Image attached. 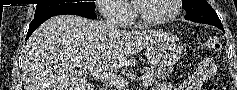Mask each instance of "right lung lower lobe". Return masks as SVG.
<instances>
[{
  "instance_id": "98d812e1",
  "label": "right lung lower lobe",
  "mask_w": 237,
  "mask_h": 90,
  "mask_svg": "<svg viewBox=\"0 0 237 90\" xmlns=\"http://www.w3.org/2000/svg\"><path fill=\"white\" fill-rule=\"evenodd\" d=\"M66 14H73V15H79V16H83L86 18H90V19H96L97 16L95 14L94 11L91 10H85V9H69V10H65V11H61V12H57L54 14H50L47 16H43L40 18H35L29 26V30L27 32V37L26 40L30 37V35L47 19H49L52 16H56V15H66Z\"/></svg>"
}]
</instances>
